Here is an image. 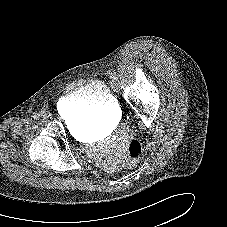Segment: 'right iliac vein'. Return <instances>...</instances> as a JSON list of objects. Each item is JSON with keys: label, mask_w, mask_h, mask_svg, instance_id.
<instances>
[{"label": "right iliac vein", "mask_w": 227, "mask_h": 227, "mask_svg": "<svg viewBox=\"0 0 227 227\" xmlns=\"http://www.w3.org/2000/svg\"><path fill=\"white\" fill-rule=\"evenodd\" d=\"M43 116L46 118L48 117V113H44Z\"/></svg>", "instance_id": "1"}]
</instances>
